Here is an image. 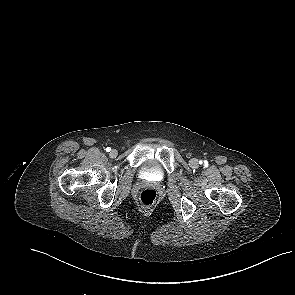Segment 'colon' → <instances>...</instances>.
<instances>
[{"label": "colon", "instance_id": "colon-1", "mask_svg": "<svg viewBox=\"0 0 295 295\" xmlns=\"http://www.w3.org/2000/svg\"><path fill=\"white\" fill-rule=\"evenodd\" d=\"M157 199V193L153 189H143L139 193V200L144 206H152Z\"/></svg>", "mask_w": 295, "mask_h": 295}]
</instances>
